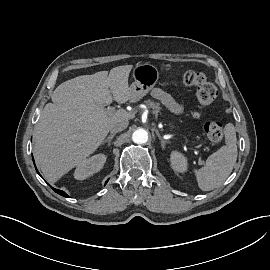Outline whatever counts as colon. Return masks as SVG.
I'll list each match as a JSON object with an SVG mask.
<instances>
[{"label":"colon","mask_w":270,"mask_h":270,"mask_svg":"<svg viewBox=\"0 0 270 270\" xmlns=\"http://www.w3.org/2000/svg\"><path fill=\"white\" fill-rule=\"evenodd\" d=\"M182 82L186 87L195 89L196 99L199 109H203L212 103L217 97V89L208 78L196 71H187L183 77ZM199 112H195L194 116L198 117ZM203 130L208 139L214 143H219L223 139V125L216 120H207L203 122Z\"/></svg>","instance_id":"obj_1"}]
</instances>
